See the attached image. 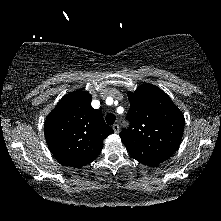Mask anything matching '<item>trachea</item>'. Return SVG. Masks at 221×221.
<instances>
[{
	"instance_id": "trachea-1",
	"label": "trachea",
	"mask_w": 221,
	"mask_h": 221,
	"mask_svg": "<svg viewBox=\"0 0 221 221\" xmlns=\"http://www.w3.org/2000/svg\"><path fill=\"white\" fill-rule=\"evenodd\" d=\"M105 119H106V123H107V124L112 125V124L115 122L116 117H115L114 114L108 113V114L106 115Z\"/></svg>"
}]
</instances>
